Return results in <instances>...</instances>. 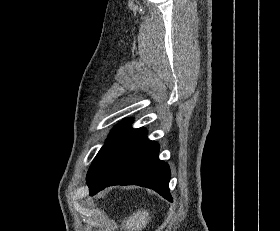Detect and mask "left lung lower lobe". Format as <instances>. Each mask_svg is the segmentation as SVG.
I'll return each instance as SVG.
<instances>
[{"mask_svg": "<svg viewBox=\"0 0 280 231\" xmlns=\"http://www.w3.org/2000/svg\"><path fill=\"white\" fill-rule=\"evenodd\" d=\"M158 152L159 145L147 139L144 128H123L105 143L89 168L90 195L112 185H139L172 202L168 188L170 170L158 159Z\"/></svg>", "mask_w": 280, "mask_h": 231, "instance_id": "1", "label": "left lung lower lobe"}]
</instances>
